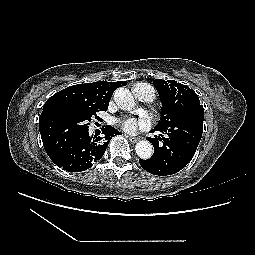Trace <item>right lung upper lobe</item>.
Returning <instances> with one entry per match:
<instances>
[{"instance_id": "1", "label": "right lung upper lobe", "mask_w": 255, "mask_h": 255, "mask_svg": "<svg viewBox=\"0 0 255 255\" xmlns=\"http://www.w3.org/2000/svg\"><path fill=\"white\" fill-rule=\"evenodd\" d=\"M126 84V81H99L67 87L66 89L55 93L47 100L40 117L47 112L58 108L71 110H107L114 90L118 87L125 86Z\"/></svg>"}]
</instances>
